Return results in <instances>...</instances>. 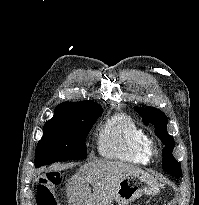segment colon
Masks as SVG:
<instances>
[{
	"mask_svg": "<svg viewBox=\"0 0 199 205\" xmlns=\"http://www.w3.org/2000/svg\"><path fill=\"white\" fill-rule=\"evenodd\" d=\"M60 182V176L49 173L38 185V205H57L54 196V187Z\"/></svg>",
	"mask_w": 199,
	"mask_h": 205,
	"instance_id": "1",
	"label": "colon"
}]
</instances>
